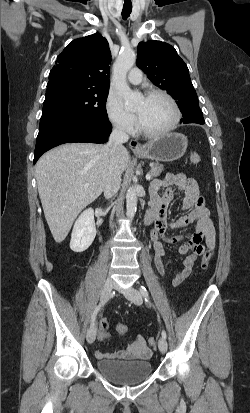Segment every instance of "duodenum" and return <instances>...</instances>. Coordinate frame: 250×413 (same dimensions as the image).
I'll return each mask as SVG.
<instances>
[{
  "mask_svg": "<svg viewBox=\"0 0 250 413\" xmlns=\"http://www.w3.org/2000/svg\"><path fill=\"white\" fill-rule=\"evenodd\" d=\"M156 217H157V212H156V210L153 209V208H150V209L146 212L145 217H144V222H145V224H151V223L156 219Z\"/></svg>",
  "mask_w": 250,
  "mask_h": 413,
  "instance_id": "obj_1",
  "label": "duodenum"
}]
</instances>
